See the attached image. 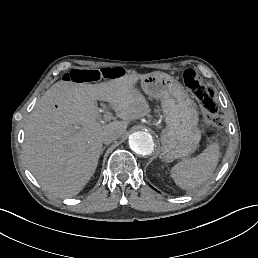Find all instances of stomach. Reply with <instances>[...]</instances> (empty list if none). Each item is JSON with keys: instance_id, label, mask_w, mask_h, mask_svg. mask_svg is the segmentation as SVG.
I'll list each match as a JSON object with an SVG mask.
<instances>
[{"instance_id": "0dacf381", "label": "stomach", "mask_w": 258, "mask_h": 258, "mask_svg": "<svg viewBox=\"0 0 258 258\" xmlns=\"http://www.w3.org/2000/svg\"><path fill=\"white\" fill-rule=\"evenodd\" d=\"M141 87L150 97L161 99L166 128L161 134L160 158L164 162L195 152L201 139L195 102L174 77L154 72L142 77Z\"/></svg>"}]
</instances>
